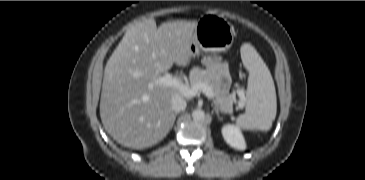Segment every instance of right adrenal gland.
I'll return each instance as SVG.
<instances>
[{
    "label": "right adrenal gland",
    "mask_w": 365,
    "mask_h": 180,
    "mask_svg": "<svg viewBox=\"0 0 365 180\" xmlns=\"http://www.w3.org/2000/svg\"><path fill=\"white\" fill-rule=\"evenodd\" d=\"M177 115H178V113H174V114H173V121H172V126H171V128L173 127V124H174V122H175V120H176Z\"/></svg>",
    "instance_id": "right-adrenal-gland-1"
}]
</instances>
